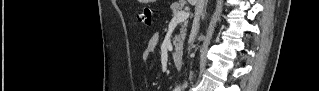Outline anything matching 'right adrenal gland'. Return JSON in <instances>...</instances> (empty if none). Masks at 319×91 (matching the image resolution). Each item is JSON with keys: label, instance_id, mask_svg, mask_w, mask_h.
<instances>
[{"label": "right adrenal gland", "instance_id": "obj_1", "mask_svg": "<svg viewBox=\"0 0 319 91\" xmlns=\"http://www.w3.org/2000/svg\"><path fill=\"white\" fill-rule=\"evenodd\" d=\"M206 6H207V1H206V3H205V10H204V14L202 15V18L204 19V16H205V14H206Z\"/></svg>", "mask_w": 319, "mask_h": 91}]
</instances>
